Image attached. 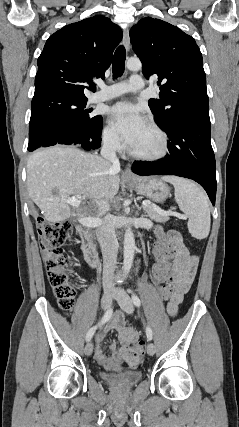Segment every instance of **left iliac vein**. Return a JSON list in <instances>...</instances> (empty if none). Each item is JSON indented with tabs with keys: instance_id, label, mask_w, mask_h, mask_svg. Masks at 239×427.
<instances>
[{
	"instance_id": "obj_1",
	"label": "left iliac vein",
	"mask_w": 239,
	"mask_h": 427,
	"mask_svg": "<svg viewBox=\"0 0 239 427\" xmlns=\"http://www.w3.org/2000/svg\"><path fill=\"white\" fill-rule=\"evenodd\" d=\"M115 298L118 304L120 305V307L122 308V310H124L128 314H131L133 312L134 310L133 302L130 296L128 295V293L123 288H118L115 291ZM155 351H156L155 345L152 342L148 343L147 353L150 356H152L155 354Z\"/></svg>"
}]
</instances>
